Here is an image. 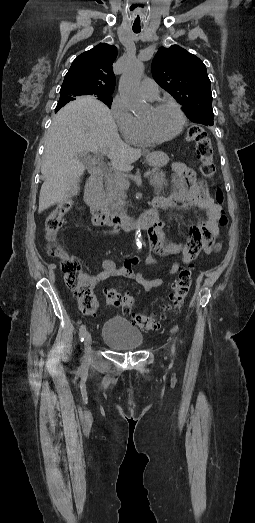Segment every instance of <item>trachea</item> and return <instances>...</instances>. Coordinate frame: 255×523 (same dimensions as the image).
<instances>
[{
	"mask_svg": "<svg viewBox=\"0 0 255 523\" xmlns=\"http://www.w3.org/2000/svg\"><path fill=\"white\" fill-rule=\"evenodd\" d=\"M140 31H141V28H135V27H133V32H134V33H139Z\"/></svg>",
	"mask_w": 255,
	"mask_h": 523,
	"instance_id": "trachea-1",
	"label": "trachea"
}]
</instances>
